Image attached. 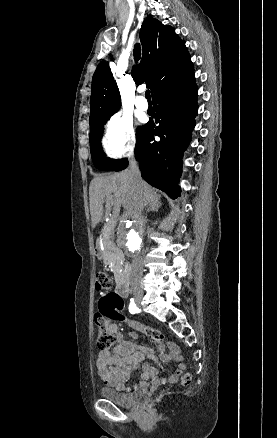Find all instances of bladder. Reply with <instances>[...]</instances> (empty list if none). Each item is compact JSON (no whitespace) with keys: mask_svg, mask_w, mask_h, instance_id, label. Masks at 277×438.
Returning a JSON list of instances; mask_svg holds the SVG:
<instances>
[{"mask_svg":"<svg viewBox=\"0 0 277 438\" xmlns=\"http://www.w3.org/2000/svg\"><path fill=\"white\" fill-rule=\"evenodd\" d=\"M98 395L103 397L104 401L111 402L121 407H132L139 404L142 400L141 393L133 392L127 394L120 389L113 387H103L99 389Z\"/></svg>","mask_w":277,"mask_h":438,"instance_id":"31cf9c89","label":"bladder"}]
</instances>
